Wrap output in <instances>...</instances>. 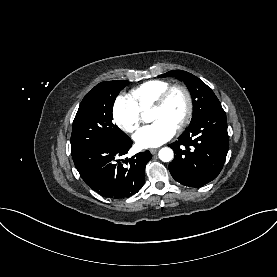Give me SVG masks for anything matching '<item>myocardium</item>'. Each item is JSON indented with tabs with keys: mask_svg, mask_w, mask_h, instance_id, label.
Instances as JSON below:
<instances>
[{
	"mask_svg": "<svg viewBox=\"0 0 277 277\" xmlns=\"http://www.w3.org/2000/svg\"><path fill=\"white\" fill-rule=\"evenodd\" d=\"M176 90H179L184 94V96L186 98V102H187V107H186V112L184 114V117L182 118V120L179 122V124L176 127L177 130H181L190 122V119L193 114V109H194L192 94L185 85H182V84L170 85L158 96V98L154 101V103L151 105L150 108L151 109H160V108L164 107V105L167 103L171 94Z\"/></svg>",
	"mask_w": 277,
	"mask_h": 277,
	"instance_id": "f54148a6",
	"label": "myocardium"
}]
</instances>
